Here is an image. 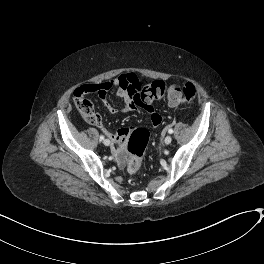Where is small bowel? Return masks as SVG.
Segmentation results:
<instances>
[{
    "mask_svg": "<svg viewBox=\"0 0 264 264\" xmlns=\"http://www.w3.org/2000/svg\"><path fill=\"white\" fill-rule=\"evenodd\" d=\"M141 86V79L135 73L128 72L123 73L108 82L96 85V93L103 101L108 111L113 113L115 110L108 102L107 92L111 87H115L117 89L118 98L123 102V110L125 112H131L137 110V106L134 103V95ZM169 104L170 106L178 105L172 102H169ZM145 110L149 114V122L151 126H159L161 123V116L150 106L145 107ZM97 127L113 142L114 146L111 150V154L118 166L124 167L127 157L123 150V145L134 128L124 126L119 128L117 132H112L101 120L97 124Z\"/></svg>",
    "mask_w": 264,
    "mask_h": 264,
    "instance_id": "small-bowel-1",
    "label": "small bowel"
}]
</instances>
